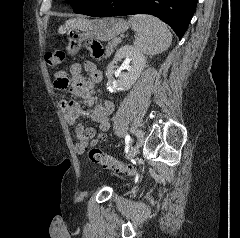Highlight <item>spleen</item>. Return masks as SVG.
<instances>
[{
	"mask_svg": "<svg viewBox=\"0 0 240 238\" xmlns=\"http://www.w3.org/2000/svg\"><path fill=\"white\" fill-rule=\"evenodd\" d=\"M128 24L136 32L135 47L147 55L166 51L172 42V35L162 21L150 15L138 14L131 17Z\"/></svg>",
	"mask_w": 240,
	"mask_h": 238,
	"instance_id": "obj_1",
	"label": "spleen"
}]
</instances>
